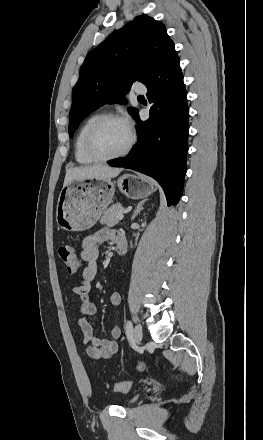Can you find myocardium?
<instances>
[{
    "mask_svg": "<svg viewBox=\"0 0 263 440\" xmlns=\"http://www.w3.org/2000/svg\"><path fill=\"white\" fill-rule=\"evenodd\" d=\"M110 121H118L123 123L128 131V141L125 146L114 154L105 155L96 148V137L100 128ZM136 137L129 121L122 115L109 113L100 116L89 128L85 138L86 153L95 161H110L121 158L129 153L135 143Z\"/></svg>",
    "mask_w": 263,
    "mask_h": 440,
    "instance_id": "1",
    "label": "myocardium"
}]
</instances>
